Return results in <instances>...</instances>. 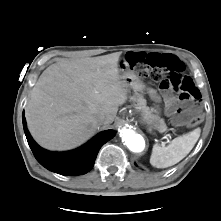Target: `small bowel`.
Returning <instances> with one entry per match:
<instances>
[{
	"instance_id": "1",
	"label": "small bowel",
	"mask_w": 221,
	"mask_h": 221,
	"mask_svg": "<svg viewBox=\"0 0 221 221\" xmlns=\"http://www.w3.org/2000/svg\"><path fill=\"white\" fill-rule=\"evenodd\" d=\"M140 57L141 62H146V57L149 53L147 52H133ZM159 54V53H158ZM165 106H166V111L168 114L174 113L178 108L182 106V102L178 101L176 98H174L171 95H166L165 96Z\"/></svg>"
}]
</instances>
